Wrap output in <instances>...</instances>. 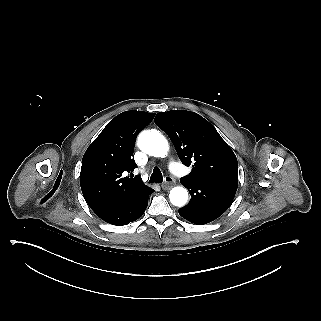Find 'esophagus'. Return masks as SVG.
<instances>
[{"label": "esophagus", "instance_id": "1", "mask_svg": "<svg viewBox=\"0 0 321 321\" xmlns=\"http://www.w3.org/2000/svg\"><path fill=\"white\" fill-rule=\"evenodd\" d=\"M166 181L161 185L163 190H170L174 186V178L171 176L165 177Z\"/></svg>", "mask_w": 321, "mask_h": 321}]
</instances>
